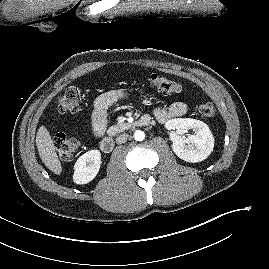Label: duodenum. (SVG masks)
Listing matches in <instances>:
<instances>
[{"label": "duodenum", "instance_id": "1", "mask_svg": "<svg viewBox=\"0 0 269 269\" xmlns=\"http://www.w3.org/2000/svg\"><path fill=\"white\" fill-rule=\"evenodd\" d=\"M151 123V119L148 116H143L139 119L138 124L140 126H147ZM115 146L114 138L112 136H105L100 142V148L105 153H110Z\"/></svg>", "mask_w": 269, "mask_h": 269}]
</instances>
